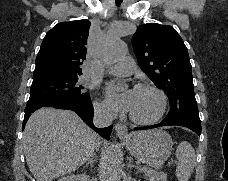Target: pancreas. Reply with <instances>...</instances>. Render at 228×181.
<instances>
[{
  "label": "pancreas",
  "mask_w": 228,
  "mask_h": 181,
  "mask_svg": "<svg viewBox=\"0 0 228 181\" xmlns=\"http://www.w3.org/2000/svg\"><path fill=\"white\" fill-rule=\"evenodd\" d=\"M146 171V179H148V181H166L167 179L166 173H157L156 169L155 171L146 169Z\"/></svg>",
  "instance_id": "cf45deb5"
}]
</instances>
